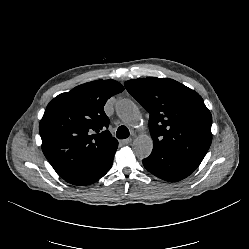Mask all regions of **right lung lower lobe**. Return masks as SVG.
Masks as SVG:
<instances>
[{
    "label": "right lung lower lobe",
    "mask_w": 249,
    "mask_h": 249,
    "mask_svg": "<svg viewBox=\"0 0 249 249\" xmlns=\"http://www.w3.org/2000/svg\"><path fill=\"white\" fill-rule=\"evenodd\" d=\"M118 143L106 151L100 158L79 172L64 178L73 185L84 186L96 182L111 168Z\"/></svg>",
    "instance_id": "right-lung-lower-lobe-1"
}]
</instances>
